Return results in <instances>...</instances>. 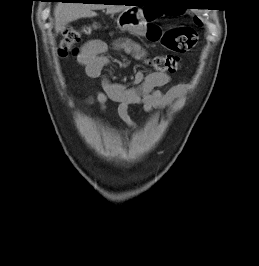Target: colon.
<instances>
[{
	"instance_id": "5ec220e1",
	"label": "colon",
	"mask_w": 259,
	"mask_h": 266,
	"mask_svg": "<svg viewBox=\"0 0 259 266\" xmlns=\"http://www.w3.org/2000/svg\"><path fill=\"white\" fill-rule=\"evenodd\" d=\"M161 13L156 10H148L147 18L152 21L159 17ZM196 24L200 25V19H195ZM91 26L79 28H68L60 41L59 53L63 56L68 53L76 54L75 46L84 35L91 32ZM148 38L152 41H159L164 47L173 53L157 55L152 57L148 64L159 73H174L180 68V57L178 53H186L192 50L197 42L198 35L195 29L189 26L175 27L163 32L157 25L150 24Z\"/></svg>"
}]
</instances>
